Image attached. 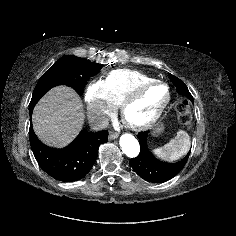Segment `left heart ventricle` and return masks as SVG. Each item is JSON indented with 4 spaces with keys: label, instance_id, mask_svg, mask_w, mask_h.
<instances>
[{
    "label": "left heart ventricle",
    "instance_id": "b2bd125f",
    "mask_svg": "<svg viewBox=\"0 0 236 236\" xmlns=\"http://www.w3.org/2000/svg\"><path fill=\"white\" fill-rule=\"evenodd\" d=\"M167 97V89L163 85H155L148 89L141 98L127 110V117L132 122L140 123L148 120Z\"/></svg>",
    "mask_w": 236,
    "mask_h": 236
}]
</instances>
